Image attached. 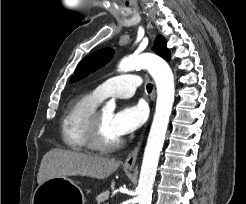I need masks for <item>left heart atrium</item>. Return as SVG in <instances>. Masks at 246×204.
<instances>
[{
	"mask_svg": "<svg viewBox=\"0 0 246 204\" xmlns=\"http://www.w3.org/2000/svg\"><path fill=\"white\" fill-rule=\"evenodd\" d=\"M147 111L143 104L124 106L113 115L112 126L118 136L134 132L145 122Z\"/></svg>",
	"mask_w": 246,
	"mask_h": 204,
	"instance_id": "1",
	"label": "left heart atrium"
}]
</instances>
